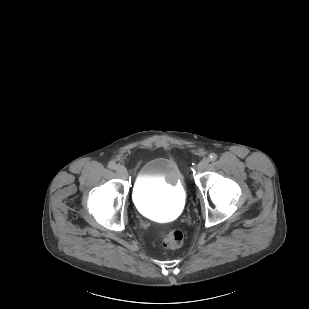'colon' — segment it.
Returning <instances> with one entry per match:
<instances>
[{
	"instance_id": "colon-1",
	"label": "colon",
	"mask_w": 309,
	"mask_h": 309,
	"mask_svg": "<svg viewBox=\"0 0 309 309\" xmlns=\"http://www.w3.org/2000/svg\"><path fill=\"white\" fill-rule=\"evenodd\" d=\"M163 245L169 249H176L183 243L184 235L179 229L169 228L161 233Z\"/></svg>"
}]
</instances>
